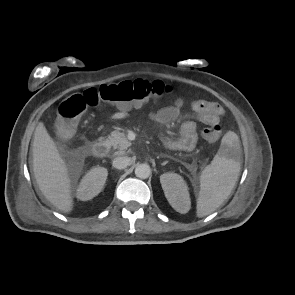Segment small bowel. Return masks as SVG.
<instances>
[{
    "label": "small bowel",
    "mask_w": 295,
    "mask_h": 295,
    "mask_svg": "<svg viewBox=\"0 0 295 295\" xmlns=\"http://www.w3.org/2000/svg\"><path fill=\"white\" fill-rule=\"evenodd\" d=\"M183 101L177 98L172 105L163 107L158 111L151 113L150 118L159 124H165L178 118ZM191 109L196 114L199 121L206 125L219 123L224 115V109L216 102L197 99L191 102ZM131 109L118 108V111L111 115L114 120H121L129 117ZM166 147L173 150L191 151L197 142V128L192 121L185 122L181 126L180 136L177 139L164 138Z\"/></svg>",
    "instance_id": "small-bowel-1"
}]
</instances>
